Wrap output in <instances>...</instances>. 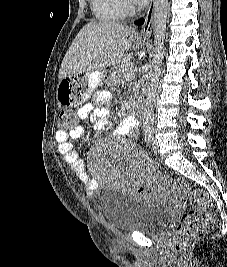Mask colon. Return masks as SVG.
<instances>
[{"instance_id":"colon-1","label":"colon","mask_w":227,"mask_h":267,"mask_svg":"<svg viewBox=\"0 0 227 267\" xmlns=\"http://www.w3.org/2000/svg\"><path fill=\"white\" fill-rule=\"evenodd\" d=\"M73 118L72 110H61V125L58 126V129L70 130V125L73 124L70 119ZM166 182L178 200L191 206L181 215L173 234L174 247L177 251H180L185 245L214 226L215 218L212 213V203L203 190L192 188L189 183L182 179L166 178Z\"/></svg>"}]
</instances>
